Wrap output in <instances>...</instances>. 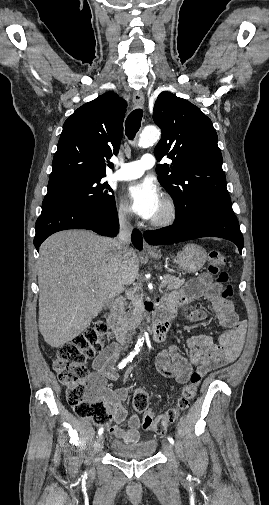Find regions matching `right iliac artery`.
<instances>
[{
  "label": "right iliac artery",
  "mask_w": 269,
  "mask_h": 505,
  "mask_svg": "<svg viewBox=\"0 0 269 505\" xmlns=\"http://www.w3.org/2000/svg\"><path fill=\"white\" fill-rule=\"evenodd\" d=\"M136 353L135 352H131L125 359H123L119 364H118V368L119 369H122L124 368L127 363L131 362L133 360V358L135 357ZM104 429L103 427H101L99 430H98V435H102Z\"/></svg>",
  "instance_id": "82829eb1"
}]
</instances>
